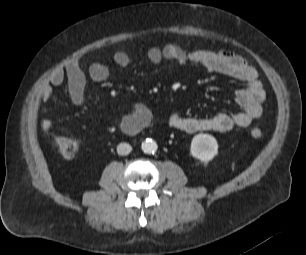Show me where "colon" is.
<instances>
[{"instance_id":"colon-1","label":"colon","mask_w":306,"mask_h":255,"mask_svg":"<svg viewBox=\"0 0 306 255\" xmlns=\"http://www.w3.org/2000/svg\"><path fill=\"white\" fill-rule=\"evenodd\" d=\"M251 136L255 139H259L263 136V132L260 128L251 129ZM56 146L60 154L64 158H72L75 156L78 150V143L75 139L67 136H59L55 140Z\"/></svg>"}]
</instances>
